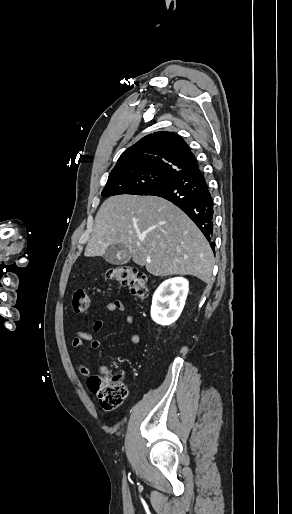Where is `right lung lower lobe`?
Wrapping results in <instances>:
<instances>
[{"instance_id":"98d812e1","label":"right lung lower lobe","mask_w":292,"mask_h":514,"mask_svg":"<svg viewBox=\"0 0 292 514\" xmlns=\"http://www.w3.org/2000/svg\"><path fill=\"white\" fill-rule=\"evenodd\" d=\"M143 195L159 196L183 210L202 231L213 239L214 202L199 165L170 175ZM212 249L215 243L211 242Z\"/></svg>"}]
</instances>
